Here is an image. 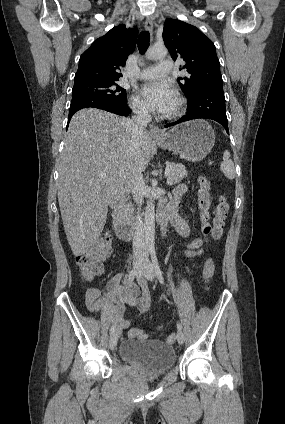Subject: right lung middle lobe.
<instances>
[{"label":"right lung middle lobe","instance_id":"obj_1","mask_svg":"<svg viewBox=\"0 0 285 424\" xmlns=\"http://www.w3.org/2000/svg\"><path fill=\"white\" fill-rule=\"evenodd\" d=\"M117 81H88L74 84L72 98L77 96H94L109 99L118 103H126V90Z\"/></svg>","mask_w":285,"mask_h":424}]
</instances>
